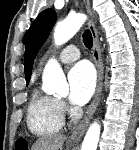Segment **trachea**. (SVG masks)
Here are the masks:
<instances>
[{
  "label": "trachea",
  "mask_w": 139,
  "mask_h": 150,
  "mask_svg": "<svg viewBox=\"0 0 139 150\" xmlns=\"http://www.w3.org/2000/svg\"><path fill=\"white\" fill-rule=\"evenodd\" d=\"M83 42H84V45L87 47V48H91L92 45H93V39H92V34L89 30H86L84 33H83Z\"/></svg>",
  "instance_id": "obj_1"
}]
</instances>
